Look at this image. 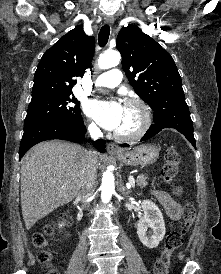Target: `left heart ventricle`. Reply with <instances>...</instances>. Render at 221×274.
Returning <instances> with one entry per match:
<instances>
[{
	"mask_svg": "<svg viewBox=\"0 0 221 274\" xmlns=\"http://www.w3.org/2000/svg\"><path fill=\"white\" fill-rule=\"evenodd\" d=\"M141 123V114L135 106H124L121 123L117 128L119 132H132L136 130Z\"/></svg>",
	"mask_w": 221,
	"mask_h": 274,
	"instance_id": "left-heart-ventricle-1",
	"label": "left heart ventricle"
}]
</instances>
